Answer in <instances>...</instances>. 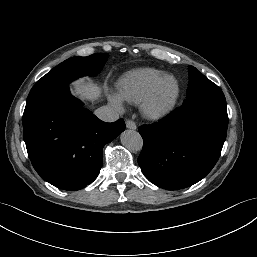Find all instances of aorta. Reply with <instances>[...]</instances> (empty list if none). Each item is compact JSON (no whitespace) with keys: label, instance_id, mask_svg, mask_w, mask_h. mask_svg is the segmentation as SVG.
Segmentation results:
<instances>
[{"label":"aorta","instance_id":"aorta-1","mask_svg":"<svg viewBox=\"0 0 257 257\" xmlns=\"http://www.w3.org/2000/svg\"><path fill=\"white\" fill-rule=\"evenodd\" d=\"M121 143L124 147L133 151H140L143 146L141 135L135 130H125L121 136Z\"/></svg>","mask_w":257,"mask_h":257}]
</instances>
